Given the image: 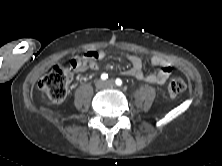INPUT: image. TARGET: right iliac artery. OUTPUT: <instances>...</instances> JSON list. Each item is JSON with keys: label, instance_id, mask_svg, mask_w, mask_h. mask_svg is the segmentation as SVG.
<instances>
[{"label": "right iliac artery", "instance_id": "obj_1", "mask_svg": "<svg viewBox=\"0 0 222 166\" xmlns=\"http://www.w3.org/2000/svg\"><path fill=\"white\" fill-rule=\"evenodd\" d=\"M108 78V75L106 74V73H103L102 75H101V79L102 80H106Z\"/></svg>", "mask_w": 222, "mask_h": 166}]
</instances>
